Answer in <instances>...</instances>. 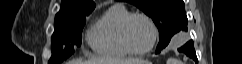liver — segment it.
I'll return each instance as SVG.
<instances>
[{"label": "liver", "mask_w": 242, "mask_h": 64, "mask_svg": "<svg viewBox=\"0 0 242 64\" xmlns=\"http://www.w3.org/2000/svg\"><path fill=\"white\" fill-rule=\"evenodd\" d=\"M145 62L141 59H90L87 61L76 59L70 61L68 64H142Z\"/></svg>", "instance_id": "liver-1"}]
</instances>
